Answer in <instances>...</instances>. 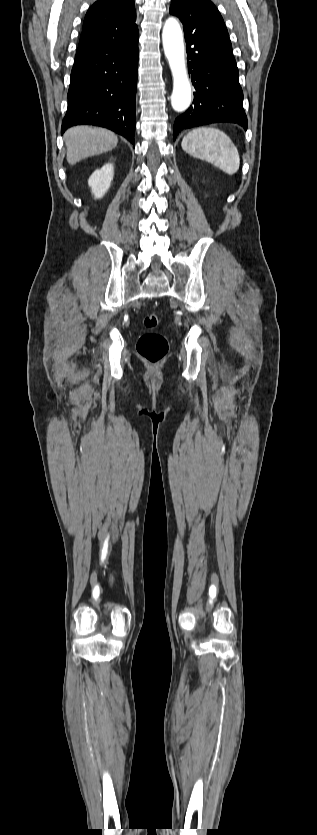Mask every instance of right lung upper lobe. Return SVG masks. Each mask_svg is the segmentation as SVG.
Instances as JSON below:
<instances>
[{
  "label": "right lung upper lobe",
  "instance_id": "cb5924a9",
  "mask_svg": "<svg viewBox=\"0 0 317 835\" xmlns=\"http://www.w3.org/2000/svg\"><path fill=\"white\" fill-rule=\"evenodd\" d=\"M135 21L134 0H98L87 11L79 47L128 42L138 36Z\"/></svg>",
  "mask_w": 317,
  "mask_h": 835
}]
</instances>
